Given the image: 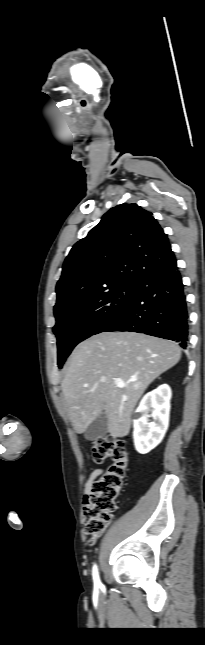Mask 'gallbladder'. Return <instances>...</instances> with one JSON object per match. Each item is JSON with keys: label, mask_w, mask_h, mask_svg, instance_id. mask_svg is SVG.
Here are the masks:
<instances>
[{"label": "gallbladder", "mask_w": 205, "mask_h": 645, "mask_svg": "<svg viewBox=\"0 0 205 645\" xmlns=\"http://www.w3.org/2000/svg\"><path fill=\"white\" fill-rule=\"evenodd\" d=\"M108 420L104 413L100 414L86 429L84 436L87 440L94 441L106 436Z\"/></svg>", "instance_id": "gallbladder-1"}]
</instances>
